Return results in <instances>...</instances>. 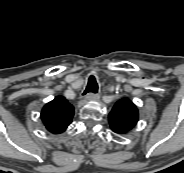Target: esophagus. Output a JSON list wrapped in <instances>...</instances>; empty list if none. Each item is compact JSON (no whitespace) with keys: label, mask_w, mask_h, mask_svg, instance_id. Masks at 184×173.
<instances>
[{"label":"esophagus","mask_w":184,"mask_h":173,"mask_svg":"<svg viewBox=\"0 0 184 173\" xmlns=\"http://www.w3.org/2000/svg\"><path fill=\"white\" fill-rule=\"evenodd\" d=\"M84 98L88 101H97L99 100L100 96L98 94L88 93L84 96Z\"/></svg>","instance_id":"1"}]
</instances>
